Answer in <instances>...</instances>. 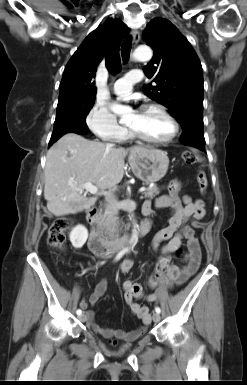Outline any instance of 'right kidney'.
Wrapping results in <instances>:
<instances>
[{
  "mask_svg": "<svg viewBox=\"0 0 247 385\" xmlns=\"http://www.w3.org/2000/svg\"><path fill=\"white\" fill-rule=\"evenodd\" d=\"M88 238V230L83 225H78L72 229L70 233V241L72 246L80 249L86 243Z\"/></svg>",
  "mask_w": 247,
  "mask_h": 385,
  "instance_id": "obj_1",
  "label": "right kidney"
}]
</instances>
